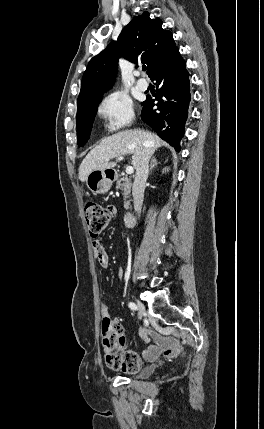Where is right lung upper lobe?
I'll use <instances>...</instances> for the list:
<instances>
[{"mask_svg":"<svg viewBox=\"0 0 264 429\" xmlns=\"http://www.w3.org/2000/svg\"><path fill=\"white\" fill-rule=\"evenodd\" d=\"M160 19H150L144 12L135 16L126 25L117 41H112L105 50L93 57L83 75L77 107L92 102L106 92L112 85L118 58L123 56L131 62L147 64L150 75L178 48L172 33L162 29Z\"/></svg>","mask_w":264,"mask_h":429,"instance_id":"1","label":"right lung upper lobe"}]
</instances>
